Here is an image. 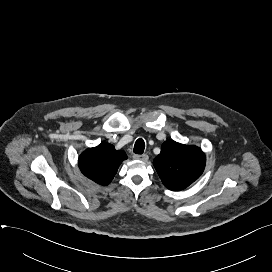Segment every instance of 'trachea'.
Returning <instances> with one entry per match:
<instances>
[{"mask_svg":"<svg viewBox=\"0 0 272 272\" xmlns=\"http://www.w3.org/2000/svg\"><path fill=\"white\" fill-rule=\"evenodd\" d=\"M144 149H145L144 140L141 139V138H139V139L135 142L133 152H134L135 154L141 155V154H143Z\"/></svg>","mask_w":272,"mask_h":272,"instance_id":"trachea-1","label":"trachea"}]
</instances>
